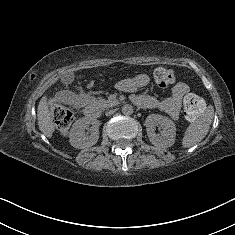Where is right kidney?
<instances>
[{
  "label": "right kidney",
  "mask_w": 235,
  "mask_h": 235,
  "mask_svg": "<svg viewBox=\"0 0 235 235\" xmlns=\"http://www.w3.org/2000/svg\"><path fill=\"white\" fill-rule=\"evenodd\" d=\"M87 123L83 120H78L74 127L71 129L69 134L70 144L78 149L85 147H91L95 145L99 139V130L98 127H95L90 135H87L85 132Z\"/></svg>",
  "instance_id": "right-kidney-1"
}]
</instances>
